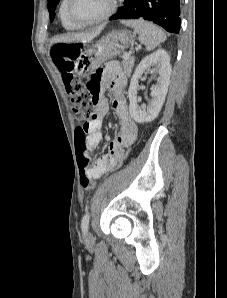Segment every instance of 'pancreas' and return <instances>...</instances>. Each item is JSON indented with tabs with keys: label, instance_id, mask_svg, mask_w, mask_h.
<instances>
[{
	"label": "pancreas",
	"instance_id": "pancreas-1",
	"mask_svg": "<svg viewBox=\"0 0 227 298\" xmlns=\"http://www.w3.org/2000/svg\"><path fill=\"white\" fill-rule=\"evenodd\" d=\"M134 62H135L134 57L124 58V60L122 61V66L125 74L130 75L132 68L134 66Z\"/></svg>",
	"mask_w": 227,
	"mask_h": 298
}]
</instances>
